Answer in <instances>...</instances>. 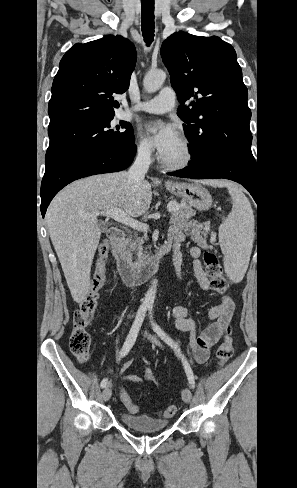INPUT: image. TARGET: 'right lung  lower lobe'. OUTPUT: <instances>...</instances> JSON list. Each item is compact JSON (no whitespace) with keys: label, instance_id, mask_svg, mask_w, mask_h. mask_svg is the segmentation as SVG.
<instances>
[{"label":"right lung lower lobe","instance_id":"right-lung-lower-lobe-1","mask_svg":"<svg viewBox=\"0 0 297 488\" xmlns=\"http://www.w3.org/2000/svg\"><path fill=\"white\" fill-rule=\"evenodd\" d=\"M135 153V142L91 148L72 153L46 169L40 190L42 216L53 197L67 184L90 175L124 170Z\"/></svg>","mask_w":297,"mask_h":488}]
</instances>
